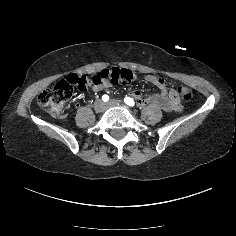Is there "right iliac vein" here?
Instances as JSON below:
<instances>
[{"instance_id": "63e3f726", "label": "right iliac vein", "mask_w": 236, "mask_h": 236, "mask_svg": "<svg viewBox=\"0 0 236 236\" xmlns=\"http://www.w3.org/2000/svg\"><path fill=\"white\" fill-rule=\"evenodd\" d=\"M104 104L101 100H98L95 104L96 111H100L103 108Z\"/></svg>"}]
</instances>
